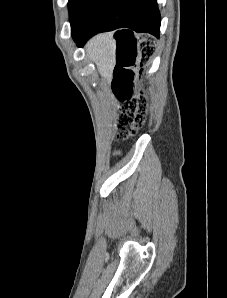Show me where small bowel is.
I'll return each instance as SVG.
<instances>
[{"instance_id":"1","label":"small bowel","mask_w":227,"mask_h":298,"mask_svg":"<svg viewBox=\"0 0 227 298\" xmlns=\"http://www.w3.org/2000/svg\"><path fill=\"white\" fill-rule=\"evenodd\" d=\"M114 155H119L120 154V152L119 151H114V153H113Z\"/></svg>"}]
</instances>
